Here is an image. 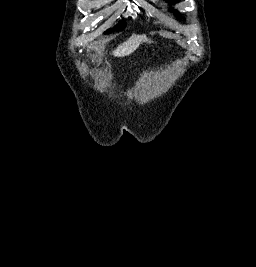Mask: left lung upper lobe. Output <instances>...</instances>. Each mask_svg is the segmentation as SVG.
<instances>
[{"mask_svg": "<svg viewBox=\"0 0 256 267\" xmlns=\"http://www.w3.org/2000/svg\"><path fill=\"white\" fill-rule=\"evenodd\" d=\"M166 1L175 3V2H178L179 0H166Z\"/></svg>", "mask_w": 256, "mask_h": 267, "instance_id": "1", "label": "left lung upper lobe"}]
</instances>
